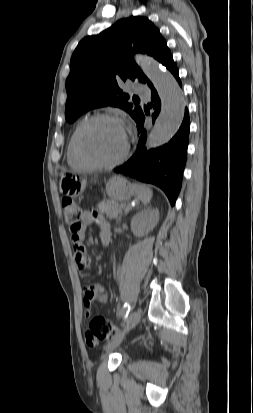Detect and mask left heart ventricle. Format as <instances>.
Returning <instances> with one entry per match:
<instances>
[{
  "label": "left heart ventricle",
  "mask_w": 253,
  "mask_h": 413,
  "mask_svg": "<svg viewBox=\"0 0 253 413\" xmlns=\"http://www.w3.org/2000/svg\"><path fill=\"white\" fill-rule=\"evenodd\" d=\"M83 144L85 151L92 159L110 162L123 152L125 133L118 123L107 120L97 121L85 131Z\"/></svg>",
  "instance_id": "left-heart-ventricle-1"
}]
</instances>
